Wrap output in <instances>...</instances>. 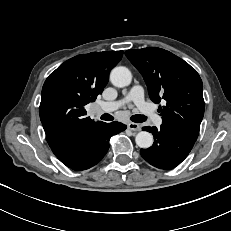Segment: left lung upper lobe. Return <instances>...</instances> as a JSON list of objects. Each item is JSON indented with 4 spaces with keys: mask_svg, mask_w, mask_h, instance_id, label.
Wrapping results in <instances>:
<instances>
[{
    "mask_svg": "<svg viewBox=\"0 0 231 231\" xmlns=\"http://www.w3.org/2000/svg\"><path fill=\"white\" fill-rule=\"evenodd\" d=\"M127 58L142 74L151 100L159 108L162 124L196 141L204 115L203 84L187 62L164 49L127 50Z\"/></svg>",
    "mask_w": 231,
    "mask_h": 231,
    "instance_id": "left-lung-upper-lobe-1",
    "label": "left lung upper lobe"
}]
</instances>
